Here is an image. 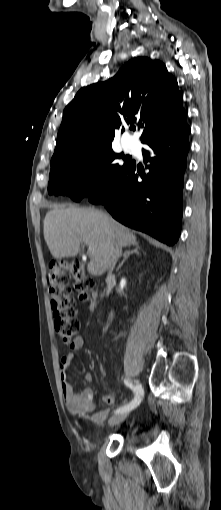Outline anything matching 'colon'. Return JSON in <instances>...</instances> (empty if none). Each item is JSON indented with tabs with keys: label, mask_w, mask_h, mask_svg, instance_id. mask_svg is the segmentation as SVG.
Wrapping results in <instances>:
<instances>
[{
	"label": "colon",
	"mask_w": 221,
	"mask_h": 510,
	"mask_svg": "<svg viewBox=\"0 0 221 510\" xmlns=\"http://www.w3.org/2000/svg\"><path fill=\"white\" fill-rule=\"evenodd\" d=\"M69 279L73 280L79 297L87 299L93 280L86 275L79 261L61 260L49 264L48 284L54 327L65 344L72 341L80 328Z\"/></svg>",
	"instance_id": "obj_1"
}]
</instances>
